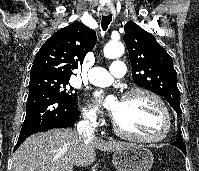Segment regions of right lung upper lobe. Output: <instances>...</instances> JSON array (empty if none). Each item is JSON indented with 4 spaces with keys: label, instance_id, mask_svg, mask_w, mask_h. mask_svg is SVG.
I'll return each instance as SVG.
<instances>
[{
    "label": "right lung upper lobe",
    "instance_id": "cb5924a9",
    "mask_svg": "<svg viewBox=\"0 0 199 171\" xmlns=\"http://www.w3.org/2000/svg\"><path fill=\"white\" fill-rule=\"evenodd\" d=\"M96 44V33L75 22L53 34L36 54L31 76L53 75L70 79L72 70L83 63L85 55Z\"/></svg>",
    "mask_w": 199,
    "mask_h": 171
}]
</instances>
